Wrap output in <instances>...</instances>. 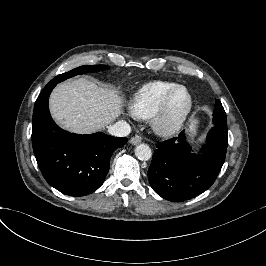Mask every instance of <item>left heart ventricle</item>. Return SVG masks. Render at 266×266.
I'll list each match as a JSON object with an SVG mask.
<instances>
[{"mask_svg": "<svg viewBox=\"0 0 266 266\" xmlns=\"http://www.w3.org/2000/svg\"><path fill=\"white\" fill-rule=\"evenodd\" d=\"M189 108V96L184 89H180L171 101L165 122L173 125L179 122Z\"/></svg>", "mask_w": 266, "mask_h": 266, "instance_id": "obj_1", "label": "left heart ventricle"}]
</instances>
